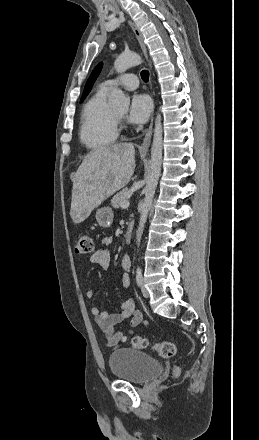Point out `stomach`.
I'll return each mask as SVG.
<instances>
[{"label":"stomach","mask_w":259,"mask_h":440,"mask_svg":"<svg viewBox=\"0 0 259 440\" xmlns=\"http://www.w3.org/2000/svg\"><path fill=\"white\" fill-rule=\"evenodd\" d=\"M95 218L99 226L103 228L109 227L113 222V211L110 207L99 208L96 211Z\"/></svg>","instance_id":"0dacf381"}]
</instances>
